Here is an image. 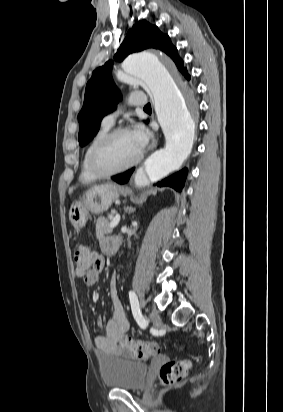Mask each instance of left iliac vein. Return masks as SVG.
I'll use <instances>...</instances> for the list:
<instances>
[{"label": "left iliac vein", "mask_w": 283, "mask_h": 412, "mask_svg": "<svg viewBox=\"0 0 283 412\" xmlns=\"http://www.w3.org/2000/svg\"><path fill=\"white\" fill-rule=\"evenodd\" d=\"M149 317L156 327H159L161 325V318L157 311H151L149 313Z\"/></svg>", "instance_id": "4c4485c4"}]
</instances>
